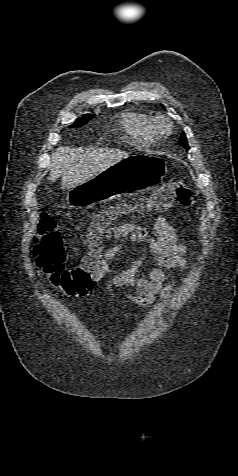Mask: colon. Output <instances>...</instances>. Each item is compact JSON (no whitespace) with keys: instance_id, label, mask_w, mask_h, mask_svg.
Returning a JSON list of instances; mask_svg holds the SVG:
<instances>
[{"instance_id":"1","label":"colon","mask_w":238,"mask_h":476,"mask_svg":"<svg viewBox=\"0 0 238 476\" xmlns=\"http://www.w3.org/2000/svg\"><path fill=\"white\" fill-rule=\"evenodd\" d=\"M197 201L195 192L181 180H169L163 183L158 191L133 206L120 205L100 213L88 226V235L92 244L93 256L98 257L97 243L105 236V232L113 219L130 212H161L175 208H187ZM34 257L37 267L47 282L55 289L66 294L92 290L101 276L100 268L88 261L82 265L65 267L66 252L60 233L56 229L55 220L42 214L35 238Z\"/></svg>"}]
</instances>
